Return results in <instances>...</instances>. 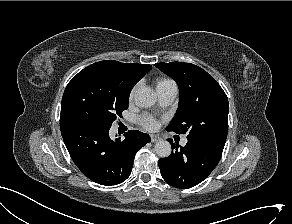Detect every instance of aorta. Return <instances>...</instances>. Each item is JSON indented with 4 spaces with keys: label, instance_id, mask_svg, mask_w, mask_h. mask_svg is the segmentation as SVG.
Wrapping results in <instances>:
<instances>
[{
    "label": "aorta",
    "instance_id": "762f6f07",
    "mask_svg": "<svg viewBox=\"0 0 292 224\" xmlns=\"http://www.w3.org/2000/svg\"><path fill=\"white\" fill-rule=\"evenodd\" d=\"M134 100L139 107L148 108L156 103L157 96L150 88L141 87L136 90ZM154 151L159 157L165 158L171 154L172 149L168 141L161 140L155 144Z\"/></svg>",
    "mask_w": 292,
    "mask_h": 224
}]
</instances>
